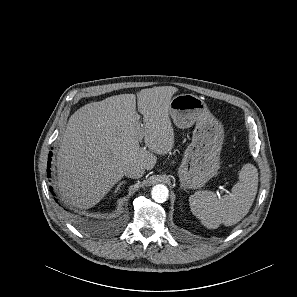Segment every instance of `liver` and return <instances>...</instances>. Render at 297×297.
<instances>
[{
    "mask_svg": "<svg viewBox=\"0 0 297 297\" xmlns=\"http://www.w3.org/2000/svg\"><path fill=\"white\" fill-rule=\"evenodd\" d=\"M173 86L142 89L137 95L120 94L78 109L59 140L58 188L64 202L78 208L95 206L132 164L151 170L156 154L174 146L169 104ZM144 139L145 146L140 142Z\"/></svg>",
    "mask_w": 297,
    "mask_h": 297,
    "instance_id": "1",
    "label": "liver"
}]
</instances>
